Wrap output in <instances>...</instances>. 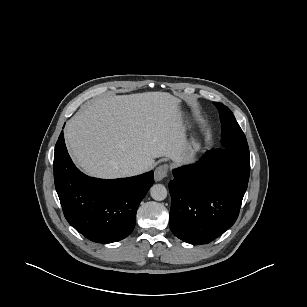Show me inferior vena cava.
Returning <instances> with one entry per match:
<instances>
[{"mask_svg":"<svg viewBox=\"0 0 307 307\" xmlns=\"http://www.w3.org/2000/svg\"><path fill=\"white\" fill-rule=\"evenodd\" d=\"M147 169L146 166H134V167H130V168H126L124 170V174L126 176H133V175H138L143 173L145 170Z\"/></svg>","mask_w":307,"mask_h":307,"instance_id":"inferior-vena-cava-1","label":"inferior vena cava"}]
</instances>
